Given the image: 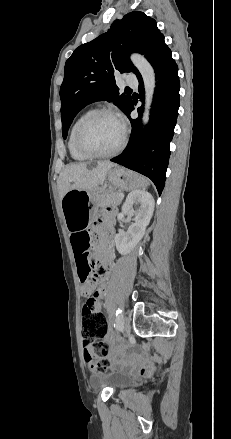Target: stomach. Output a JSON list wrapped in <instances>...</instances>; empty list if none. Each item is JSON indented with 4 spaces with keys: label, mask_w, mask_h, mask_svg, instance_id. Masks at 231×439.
<instances>
[{
    "label": "stomach",
    "mask_w": 231,
    "mask_h": 439,
    "mask_svg": "<svg viewBox=\"0 0 231 439\" xmlns=\"http://www.w3.org/2000/svg\"><path fill=\"white\" fill-rule=\"evenodd\" d=\"M108 188L103 183L92 190H69L61 200L66 226L69 230H82L96 213L97 205L107 191L145 188L148 180L121 167L110 169L106 175Z\"/></svg>",
    "instance_id": "1"
}]
</instances>
